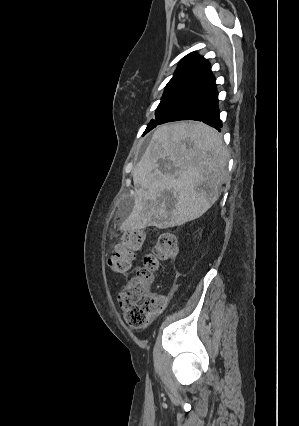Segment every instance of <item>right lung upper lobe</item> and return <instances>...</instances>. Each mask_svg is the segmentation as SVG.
<instances>
[{
    "label": "right lung upper lobe",
    "instance_id": "cb5924a9",
    "mask_svg": "<svg viewBox=\"0 0 299 426\" xmlns=\"http://www.w3.org/2000/svg\"><path fill=\"white\" fill-rule=\"evenodd\" d=\"M214 80L210 63L192 52L181 60L175 74L167 85H191L197 88Z\"/></svg>",
    "mask_w": 299,
    "mask_h": 426
}]
</instances>
